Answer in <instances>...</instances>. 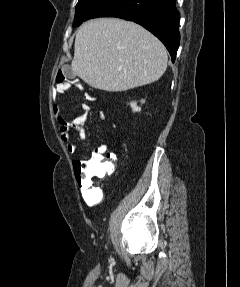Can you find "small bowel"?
Returning <instances> with one entry per match:
<instances>
[{
  "label": "small bowel",
  "mask_w": 240,
  "mask_h": 287,
  "mask_svg": "<svg viewBox=\"0 0 240 287\" xmlns=\"http://www.w3.org/2000/svg\"><path fill=\"white\" fill-rule=\"evenodd\" d=\"M76 86L80 87L79 84H76ZM69 87H70V84H68L64 88L63 93L67 91ZM84 100L88 102H93L96 100V97L93 96L92 94L85 93ZM89 110H90V107L87 104H82L81 114L72 120H67L65 119V117L63 116L61 112V106L59 104V101L53 106V115H54L56 123L58 124L61 139L67 144V150L70 153H73L76 150V146L71 142V137H70V131L72 129L77 131L78 136L81 140L84 141L87 138L85 123L87 120ZM98 117L101 121L106 120V115L104 112H99ZM106 153H107V146L104 144L99 145L93 150L91 160H97V159L104 158V155ZM109 155L110 154H107V157ZM83 198L86 201V203L90 206L97 204L99 201V196L94 190H92V192H90L89 194H83Z\"/></svg>",
  "instance_id": "obj_1"
}]
</instances>
